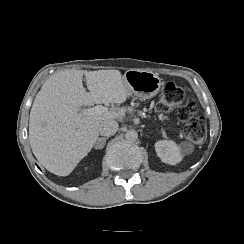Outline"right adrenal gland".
Segmentation results:
<instances>
[{
    "label": "right adrenal gland",
    "instance_id": "right-adrenal-gland-1",
    "mask_svg": "<svg viewBox=\"0 0 244 244\" xmlns=\"http://www.w3.org/2000/svg\"><path fill=\"white\" fill-rule=\"evenodd\" d=\"M107 139H108V137H103V138H101V137H97V139H96V143H95V148L98 147V145H99V143H100L101 141H103V143H102V147H103V146L105 145Z\"/></svg>",
    "mask_w": 244,
    "mask_h": 244
}]
</instances>
